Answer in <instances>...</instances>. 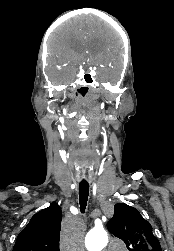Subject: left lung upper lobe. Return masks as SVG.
Here are the masks:
<instances>
[{"mask_svg":"<svg viewBox=\"0 0 174 251\" xmlns=\"http://www.w3.org/2000/svg\"><path fill=\"white\" fill-rule=\"evenodd\" d=\"M108 229L124 241L129 251H162L150 223L137 209L125 203L114 206V216L109 221Z\"/></svg>","mask_w":174,"mask_h":251,"instance_id":"left-lung-upper-lobe-1","label":"left lung upper lobe"}]
</instances>
